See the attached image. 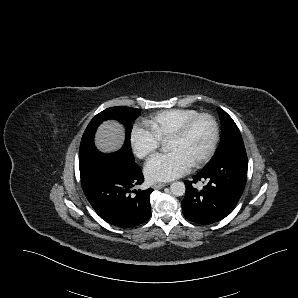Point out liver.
<instances>
[{
  "mask_svg": "<svg viewBox=\"0 0 298 298\" xmlns=\"http://www.w3.org/2000/svg\"><path fill=\"white\" fill-rule=\"evenodd\" d=\"M125 132L124 125L116 119L103 120L93 137L96 150L105 155L121 150L126 138Z\"/></svg>",
  "mask_w": 298,
  "mask_h": 298,
  "instance_id": "liver-1",
  "label": "liver"
}]
</instances>
